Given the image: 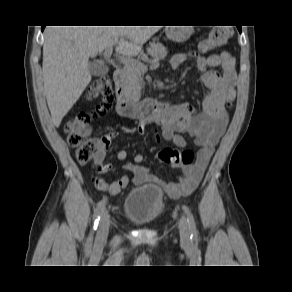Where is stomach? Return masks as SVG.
Masks as SVG:
<instances>
[{
    "label": "stomach",
    "mask_w": 292,
    "mask_h": 292,
    "mask_svg": "<svg viewBox=\"0 0 292 292\" xmlns=\"http://www.w3.org/2000/svg\"><path fill=\"white\" fill-rule=\"evenodd\" d=\"M193 29L191 26L170 27L166 29L167 37L174 42H184L190 38Z\"/></svg>",
    "instance_id": "obj_1"
}]
</instances>
